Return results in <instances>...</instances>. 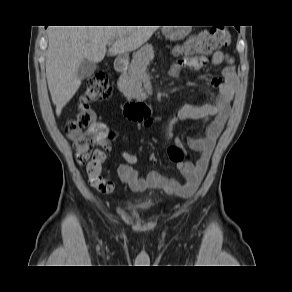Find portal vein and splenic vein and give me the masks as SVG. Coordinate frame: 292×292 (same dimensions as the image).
<instances>
[{
    "label": "portal vein and splenic vein",
    "instance_id": "18ae733b",
    "mask_svg": "<svg viewBox=\"0 0 292 292\" xmlns=\"http://www.w3.org/2000/svg\"><path fill=\"white\" fill-rule=\"evenodd\" d=\"M108 44H109V45H112V42H109Z\"/></svg>",
    "mask_w": 292,
    "mask_h": 292
}]
</instances>
